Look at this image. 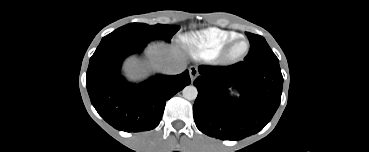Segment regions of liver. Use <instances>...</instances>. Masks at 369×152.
<instances>
[{"instance_id": "1", "label": "liver", "mask_w": 369, "mask_h": 152, "mask_svg": "<svg viewBox=\"0 0 369 152\" xmlns=\"http://www.w3.org/2000/svg\"><path fill=\"white\" fill-rule=\"evenodd\" d=\"M146 54L150 60V66L147 68L135 58H130L125 63V70L132 79H140L149 68L163 71V67L167 63L185 64V59L173 46L154 44L149 46Z\"/></svg>"}]
</instances>
